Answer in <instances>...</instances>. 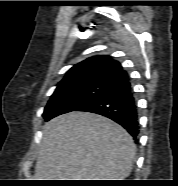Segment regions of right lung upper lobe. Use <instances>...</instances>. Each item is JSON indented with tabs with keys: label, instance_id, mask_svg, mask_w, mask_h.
Returning a JSON list of instances; mask_svg holds the SVG:
<instances>
[{
	"label": "right lung upper lobe",
	"instance_id": "right-lung-upper-lobe-1",
	"mask_svg": "<svg viewBox=\"0 0 178 186\" xmlns=\"http://www.w3.org/2000/svg\"><path fill=\"white\" fill-rule=\"evenodd\" d=\"M128 77L118 61L107 55L90 57L74 65L55 91L87 84L112 85Z\"/></svg>",
	"mask_w": 178,
	"mask_h": 186
}]
</instances>
